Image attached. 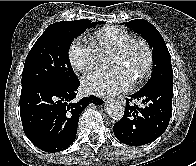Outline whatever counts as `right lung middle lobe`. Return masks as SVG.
Segmentation results:
<instances>
[{
    "label": "right lung middle lobe",
    "mask_w": 196,
    "mask_h": 166,
    "mask_svg": "<svg viewBox=\"0 0 196 166\" xmlns=\"http://www.w3.org/2000/svg\"><path fill=\"white\" fill-rule=\"evenodd\" d=\"M104 23L82 19L51 24L31 48L24 64L22 83L43 80L69 85L78 80L73 72L68 48L86 28Z\"/></svg>",
    "instance_id": "obj_1"
}]
</instances>
